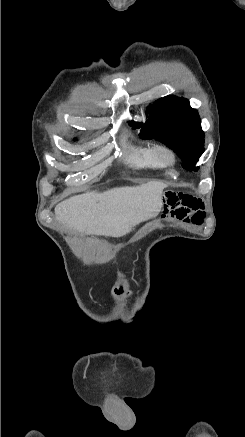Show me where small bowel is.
I'll use <instances>...</instances> for the list:
<instances>
[{
	"mask_svg": "<svg viewBox=\"0 0 245 437\" xmlns=\"http://www.w3.org/2000/svg\"><path fill=\"white\" fill-rule=\"evenodd\" d=\"M181 188L184 190L186 187L183 185ZM164 205L165 208L161 211V214L165 219L172 216L186 223L196 225L201 224L204 219L202 201L183 192H168L165 196Z\"/></svg>",
	"mask_w": 245,
	"mask_h": 437,
	"instance_id": "1",
	"label": "small bowel"
}]
</instances>
